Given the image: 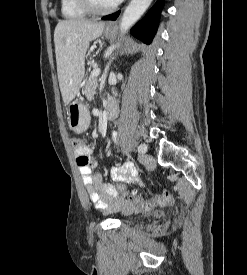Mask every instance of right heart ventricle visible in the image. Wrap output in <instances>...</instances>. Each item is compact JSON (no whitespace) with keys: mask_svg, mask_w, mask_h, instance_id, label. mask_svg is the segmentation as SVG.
Instances as JSON below:
<instances>
[{"mask_svg":"<svg viewBox=\"0 0 247 275\" xmlns=\"http://www.w3.org/2000/svg\"><path fill=\"white\" fill-rule=\"evenodd\" d=\"M62 15L67 19H81L87 16L75 0H60Z\"/></svg>","mask_w":247,"mask_h":275,"instance_id":"obj_1","label":"right heart ventricle"}]
</instances>
